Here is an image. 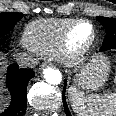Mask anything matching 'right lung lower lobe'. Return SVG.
I'll list each match as a JSON object with an SVG mask.
<instances>
[{
	"mask_svg": "<svg viewBox=\"0 0 116 116\" xmlns=\"http://www.w3.org/2000/svg\"><path fill=\"white\" fill-rule=\"evenodd\" d=\"M34 76L32 69L19 68L13 64L8 66L6 86L11 94V103L0 116H23L27 105V84Z\"/></svg>",
	"mask_w": 116,
	"mask_h": 116,
	"instance_id": "right-lung-lower-lobe-1",
	"label": "right lung lower lobe"
}]
</instances>
